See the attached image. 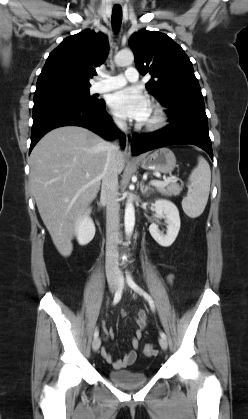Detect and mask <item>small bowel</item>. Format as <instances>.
I'll return each instance as SVG.
<instances>
[{
    "mask_svg": "<svg viewBox=\"0 0 248 419\" xmlns=\"http://www.w3.org/2000/svg\"><path fill=\"white\" fill-rule=\"evenodd\" d=\"M169 281L173 279V276L168 277ZM135 321L137 324V329L135 331V334L131 340V346L132 349L129 350L121 359L114 360L110 354V352L107 349H102L101 355L103 358L109 362L114 369H122L129 365H132L136 358H137V352L140 348V340L143 336L144 329L147 326L148 323V317L147 314L143 310H138L135 313ZM115 336V332L113 329H107L106 330V337L108 339H112Z\"/></svg>",
    "mask_w": 248,
    "mask_h": 419,
    "instance_id": "small-bowel-1",
    "label": "small bowel"
}]
</instances>
